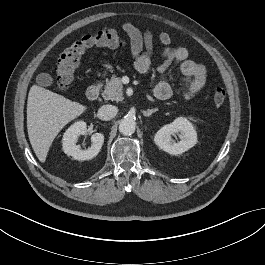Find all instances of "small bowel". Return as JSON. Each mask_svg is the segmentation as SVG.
Here are the masks:
<instances>
[{"mask_svg": "<svg viewBox=\"0 0 265 265\" xmlns=\"http://www.w3.org/2000/svg\"><path fill=\"white\" fill-rule=\"evenodd\" d=\"M123 30L130 40V50L134 59V67L140 73H146L152 63L154 36L151 31L142 32L134 24H123ZM158 41L162 45L161 62L158 71L163 74L168 66L173 63L180 64V70L185 79L183 96L187 100L197 97L205 86L207 78L206 67L198 62L188 59V50L185 47H174L167 33H160ZM172 94L170 84L164 77L157 82L154 95L165 100Z\"/></svg>", "mask_w": 265, "mask_h": 265, "instance_id": "1", "label": "small bowel"}]
</instances>
